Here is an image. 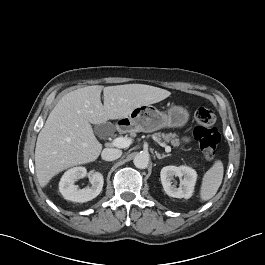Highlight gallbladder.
Masks as SVG:
<instances>
[{"label": "gallbladder", "mask_w": 265, "mask_h": 265, "mask_svg": "<svg viewBox=\"0 0 265 265\" xmlns=\"http://www.w3.org/2000/svg\"><path fill=\"white\" fill-rule=\"evenodd\" d=\"M107 129L112 130L113 129V126L111 124H108V123H103V124H100V125H98V126L95 127V133L98 136H102V135L105 134V132L107 131Z\"/></svg>", "instance_id": "bac80fb5"}]
</instances>
